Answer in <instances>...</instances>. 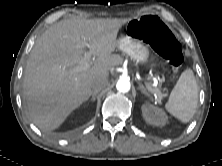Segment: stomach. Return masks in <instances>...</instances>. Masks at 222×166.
Masks as SVG:
<instances>
[{"label": "stomach", "mask_w": 222, "mask_h": 166, "mask_svg": "<svg viewBox=\"0 0 222 166\" xmlns=\"http://www.w3.org/2000/svg\"><path fill=\"white\" fill-rule=\"evenodd\" d=\"M118 49L128 55L136 63H146L149 58V48L137 38L129 35L118 40Z\"/></svg>", "instance_id": "0dacf381"}]
</instances>
